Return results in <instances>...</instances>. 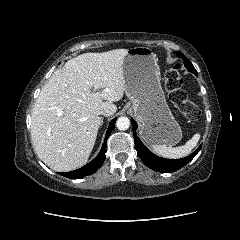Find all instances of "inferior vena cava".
Returning a JSON list of instances; mask_svg holds the SVG:
<instances>
[{
	"label": "inferior vena cava",
	"mask_w": 240,
	"mask_h": 240,
	"mask_svg": "<svg viewBox=\"0 0 240 240\" xmlns=\"http://www.w3.org/2000/svg\"><path fill=\"white\" fill-rule=\"evenodd\" d=\"M100 114L105 115V116H108V111L102 110V111H100Z\"/></svg>",
	"instance_id": "602c4592"
}]
</instances>
